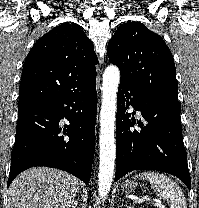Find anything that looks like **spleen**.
<instances>
[{"mask_svg": "<svg viewBox=\"0 0 199 208\" xmlns=\"http://www.w3.org/2000/svg\"><path fill=\"white\" fill-rule=\"evenodd\" d=\"M136 177L150 182L156 195L166 200L170 208H187L183 192L176 182L168 176L147 171L139 173Z\"/></svg>", "mask_w": 199, "mask_h": 208, "instance_id": "3e777b00", "label": "spleen"}]
</instances>
